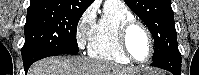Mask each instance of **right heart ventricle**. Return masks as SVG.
Wrapping results in <instances>:
<instances>
[{
  "label": "right heart ventricle",
  "instance_id": "obj_1",
  "mask_svg": "<svg viewBox=\"0 0 199 75\" xmlns=\"http://www.w3.org/2000/svg\"><path fill=\"white\" fill-rule=\"evenodd\" d=\"M131 18H134L133 13L124 5L104 6L88 43L89 56L121 65L130 64L120 47L118 30L123 22Z\"/></svg>",
  "mask_w": 199,
  "mask_h": 75
}]
</instances>
